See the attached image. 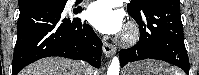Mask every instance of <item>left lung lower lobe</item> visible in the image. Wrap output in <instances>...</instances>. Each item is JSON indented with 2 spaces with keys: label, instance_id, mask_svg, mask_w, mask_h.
<instances>
[{
  "label": "left lung lower lobe",
  "instance_id": "1",
  "mask_svg": "<svg viewBox=\"0 0 199 75\" xmlns=\"http://www.w3.org/2000/svg\"><path fill=\"white\" fill-rule=\"evenodd\" d=\"M139 25L138 43L120 51V65L142 59L163 60L183 69L189 75V58L179 0H155L140 14L129 11Z\"/></svg>",
  "mask_w": 199,
  "mask_h": 75
}]
</instances>
